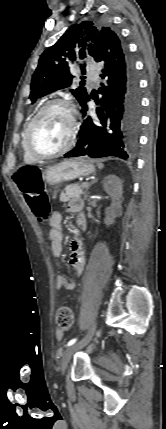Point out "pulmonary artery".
<instances>
[{"label":"pulmonary artery","mask_w":166,"mask_h":429,"mask_svg":"<svg viewBox=\"0 0 166 429\" xmlns=\"http://www.w3.org/2000/svg\"><path fill=\"white\" fill-rule=\"evenodd\" d=\"M87 75H88L89 77H91V78H94V79H96V78L98 77L97 72H96V71H95V69H94V68H92V67H88V68H87Z\"/></svg>","instance_id":"e3ab8cb5"}]
</instances>
